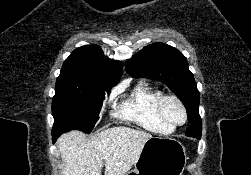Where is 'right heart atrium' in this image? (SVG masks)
I'll list each match as a JSON object with an SVG mask.
<instances>
[{
	"mask_svg": "<svg viewBox=\"0 0 251 175\" xmlns=\"http://www.w3.org/2000/svg\"><path fill=\"white\" fill-rule=\"evenodd\" d=\"M115 98H116L115 93H111V95L107 98L106 103L109 104L110 106H113Z\"/></svg>",
	"mask_w": 251,
	"mask_h": 175,
	"instance_id": "obj_1",
	"label": "right heart atrium"
}]
</instances>
